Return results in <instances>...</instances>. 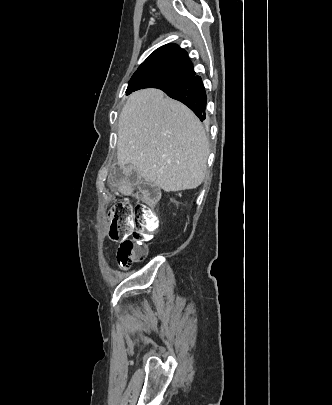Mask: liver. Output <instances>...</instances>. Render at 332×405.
Instances as JSON below:
<instances>
[{"label":"liver","instance_id":"obj_1","mask_svg":"<svg viewBox=\"0 0 332 405\" xmlns=\"http://www.w3.org/2000/svg\"><path fill=\"white\" fill-rule=\"evenodd\" d=\"M118 164H132L166 192L197 188L209 155L205 130L183 103L159 89L132 93L119 115Z\"/></svg>","mask_w":332,"mask_h":405}]
</instances>
